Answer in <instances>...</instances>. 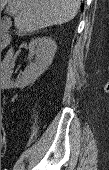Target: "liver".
<instances>
[{"mask_svg":"<svg viewBox=\"0 0 109 170\" xmlns=\"http://www.w3.org/2000/svg\"><path fill=\"white\" fill-rule=\"evenodd\" d=\"M17 10L14 23L22 32H32L71 21L77 14L80 0H3Z\"/></svg>","mask_w":109,"mask_h":170,"instance_id":"1","label":"liver"}]
</instances>
